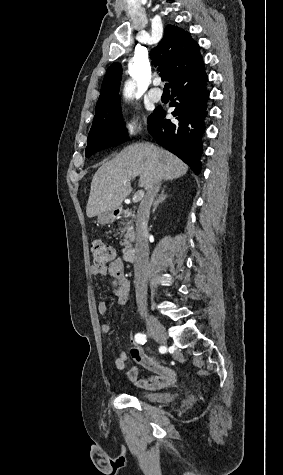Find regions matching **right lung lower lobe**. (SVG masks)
Returning <instances> with one entry per match:
<instances>
[{
	"instance_id": "obj_1",
	"label": "right lung lower lobe",
	"mask_w": 283,
	"mask_h": 475,
	"mask_svg": "<svg viewBox=\"0 0 283 475\" xmlns=\"http://www.w3.org/2000/svg\"><path fill=\"white\" fill-rule=\"evenodd\" d=\"M207 74L204 67L172 84L170 107L176 120L165 119L166 111L158 106L148 118V130L156 142L181 158L195 174L201 170V137L207 116Z\"/></svg>"
}]
</instances>
